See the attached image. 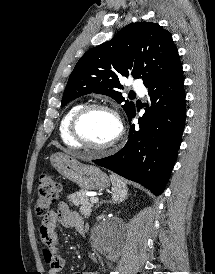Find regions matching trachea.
<instances>
[{"label": "trachea", "mask_w": 215, "mask_h": 274, "mask_svg": "<svg viewBox=\"0 0 215 274\" xmlns=\"http://www.w3.org/2000/svg\"><path fill=\"white\" fill-rule=\"evenodd\" d=\"M132 97H135V94H131Z\"/></svg>", "instance_id": "3493384b"}]
</instances>
